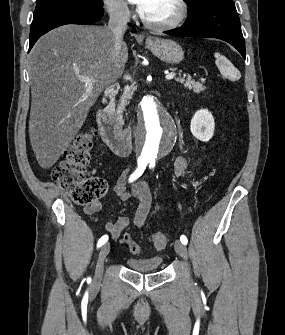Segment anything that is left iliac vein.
Listing matches in <instances>:
<instances>
[{"label": "left iliac vein", "mask_w": 285, "mask_h": 335, "mask_svg": "<svg viewBox=\"0 0 285 335\" xmlns=\"http://www.w3.org/2000/svg\"><path fill=\"white\" fill-rule=\"evenodd\" d=\"M175 251L184 259H187V248L185 244L180 241H175Z\"/></svg>", "instance_id": "left-iliac-vein-1"}]
</instances>
